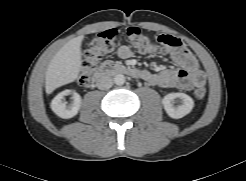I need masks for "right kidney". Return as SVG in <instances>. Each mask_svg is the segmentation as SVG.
Listing matches in <instances>:
<instances>
[{
    "mask_svg": "<svg viewBox=\"0 0 246 181\" xmlns=\"http://www.w3.org/2000/svg\"><path fill=\"white\" fill-rule=\"evenodd\" d=\"M70 90H65L59 93L51 102L52 111L59 117L69 119L77 115L81 107V97L78 93L73 92V102L70 105H66L62 99L64 96L70 94Z\"/></svg>",
    "mask_w": 246,
    "mask_h": 181,
    "instance_id": "right-kidney-1",
    "label": "right kidney"
}]
</instances>
